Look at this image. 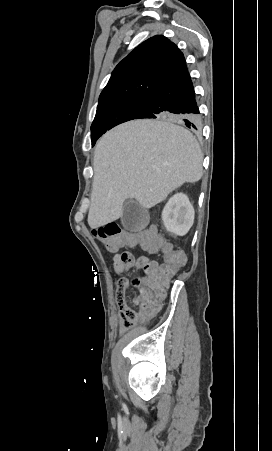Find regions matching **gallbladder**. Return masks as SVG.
Returning <instances> with one entry per match:
<instances>
[{
	"label": "gallbladder",
	"mask_w": 272,
	"mask_h": 451,
	"mask_svg": "<svg viewBox=\"0 0 272 451\" xmlns=\"http://www.w3.org/2000/svg\"><path fill=\"white\" fill-rule=\"evenodd\" d=\"M121 222L125 229L139 231L144 229L149 222V214L146 208L140 206L135 200H127L123 206Z\"/></svg>",
	"instance_id": "bac80fb5"
}]
</instances>
